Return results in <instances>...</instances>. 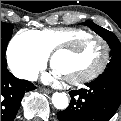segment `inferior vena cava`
I'll use <instances>...</instances> for the list:
<instances>
[{
	"mask_svg": "<svg viewBox=\"0 0 121 121\" xmlns=\"http://www.w3.org/2000/svg\"><path fill=\"white\" fill-rule=\"evenodd\" d=\"M15 76L20 79H27L29 81H35L37 80L38 73L36 71L26 72V71L19 70L15 73Z\"/></svg>",
	"mask_w": 121,
	"mask_h": 121,
	"instance_id": "602c4592",
	"label": "inferior vena cava"
}]
</instances>
